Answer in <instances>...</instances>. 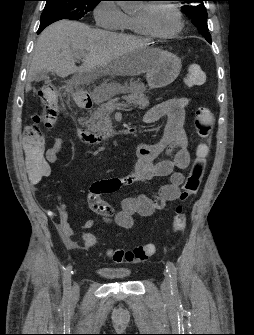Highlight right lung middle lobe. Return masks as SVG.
Masks as SVG:
<instances>
[{
  "label": "right lung middle lobe",
  "instance_id": "1",
  "mask_svg": "<svg viewBox=\"0 0 254 335\" xmlns=\"http://www.w3.org/2000/svg\"><path fill=\"white\" fill-rule=\"evenodd\" d=\"M41 22L47 20H78L91 11L100 0H45Z\"/></svg>",
  "mask_w": 254,
  "mask_h": 335
}]
</instances>
